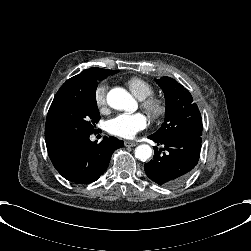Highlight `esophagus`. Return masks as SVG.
I'll use <instances>...</instances> for the list:
<instances>
[{
    "mask_svg": "<svg viewBox=\"0 0 251 251\" xmlns=\"http://www.w3.org/2000/svg\"><path fill=\"white\" fill-rule=\"evenodd\" d=\"M138 143H136V142H131V141H125L124 142V145L126 146V147H134V146H136Z\"/></svg>",
    "mask_w": 251,
    "mask_h": 251,
    "instance_id": "1",
    "label": "esophagus"
}]
</instances>
